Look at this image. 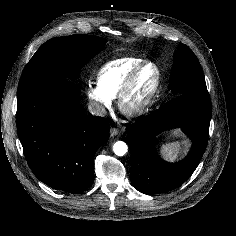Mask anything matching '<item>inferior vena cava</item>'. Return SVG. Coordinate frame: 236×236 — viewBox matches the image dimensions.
<instances>
[{
    "label": "inferior vena cava",
    "instance_id": "inferior-vena-cava-1",
    "mask_svg": "<svg viewBox=\"0 0 236 236\" xmlns=\"http://www.w3.org/2000/svg\"><path fill=\"white\" fill-rule=\"evenodd\" d=\"M88 110L95 116H105L107 113L105 107L95 101H90L88 103Z\"/></svg>",
    "mask_w": 236,
    "mask_h": 236
}]
</instances>
